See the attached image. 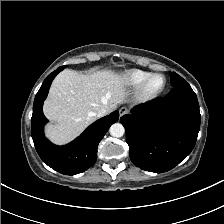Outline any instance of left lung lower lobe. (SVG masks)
Returning <instances> with one entry per match:
<instances>
[{
    "instance_id": "0a47b994",
    "label": "left lung lower lobe",
    "mask_w": 224,
    "mask_h": 224,
    "mask_svg": "<svg viewBox=\"0 0 224 224\" xmlns=\"http://www.w3.org/2000/svg\"><path fill=\"white\" fill-rule=\"evenodd\" d=\"M132 162L156 173L171 170L192 151L200 129L196 94L187 82L165 98L136 106L120 119Z\"/></svg>"
}]
</instances>
